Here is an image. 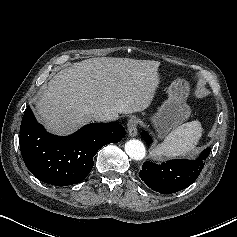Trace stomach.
Wrapping results in <instances>:
<instances>
[{"mask_svg": "<svg viewBox=\"0 0 237 237\" xmlns=\"http://www.w3.org/2000/svg\"><path fill=\"white\" fill-rule=\"evenodd\" d=\"M189 89L188 82L181 78L168 87V99L151 118L159 137H164L189 118L191 109L186 103Z\"/></svg>", "mask_w": 237, "mask_h": 237, "instance_id": "1", "label": "stomach"}]
</instances>
